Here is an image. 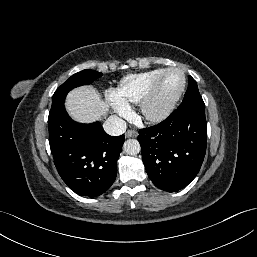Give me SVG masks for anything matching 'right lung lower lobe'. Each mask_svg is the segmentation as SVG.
I'll list each match as a JSON object with an SVG mask.
<instances>
[{
	"mask_svg": "<svg viewBox=\"0 0 257 257\" xmlns=\"http://www.w3.org/2000/svg\"><path fill=\"white\" fill-rule=\"evenodd\" d=\"M49 144L65 184L81 196L95 197L116 179L124 135H108L99 122L73 121L62 106L49 114Z\"/></svg>",
	"mask_w": 257,
	"mask_h": 257,
	"instance_id": "98d812e1",
	"label": "right lung lower lobe"
}]
</instances>
